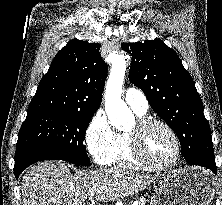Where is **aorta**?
I'll use <instances>...</instances> for the list:
<instances>
[{"instance_id": "1", "label": "aorta", "mask_w": 222, "mask_h": 205, "mask_svg": "<svg viewBox=\"0 0 222 205\" xmlns=\"http://www.w3.org/2000/svg\"><path fill=\"white\" fill-rule=\"evenodd\" d=\"M125 72L126 61L124 56H115L105 86V111L111 125L120 130L131 127L134 123L131 110L121 98Z\"/></svg>"}]
</instances>
